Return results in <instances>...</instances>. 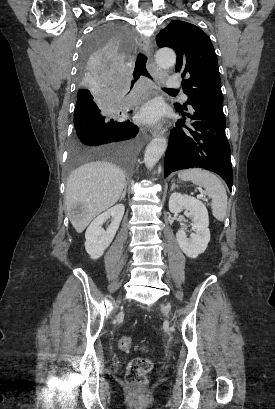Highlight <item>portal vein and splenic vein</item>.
I'll return each mask as SVG.
<instances>
[{"mask_svg":"<svg viewBox=\"0 0 275 409\" xmlns=\"http://www.w3.org/2000/svg\"><path fill=\"white\" fill-rule=\"evenodd\" d=\"M197 196H199V198H201L202 194H197Z\"/></svg>","mask_w":275,"mask_h":409,"instance_id":"1","label":"portal vein and splenic vein"}]
</instances>
